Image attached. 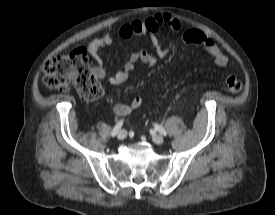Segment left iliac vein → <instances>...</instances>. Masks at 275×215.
I'll use <instances>...</instances> for the list:
<instances>
[{
  "label": "left iliac vein",
  "instance_id": "left-iliac-vein-1",
  "mask_svg": "<svg viewBox=\"0 0 275 215\" xmlns=\"http://www.w3.org/2000/svg\"><path fill=\"white\" fill-rule=\"evenodd\" d=\"M152 140L154 143L159 145L164 143V138L160 135H156V134L152 135Z\"/></svg>",
  "mask_w": 275,
  "mask_h": 215
}]
</instances>
